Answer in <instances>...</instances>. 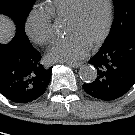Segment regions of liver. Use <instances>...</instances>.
<instances>
[{
	"instance_id": "obj_1",
	"label": "liver",
	"mask_w": 135,
	"mask_h": 135,
	"mask_svg": "<svg viewBox=\"0 0 135 135\" xmlns=\"http://www.w3.org/2000/svg\"><path fill=\"white\" fill-rule=\"evenodd\" d=\"M14 29L12 20L0 15V43H7L12 38Z\"/></svg>"
}]
</instances>
